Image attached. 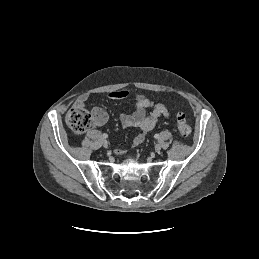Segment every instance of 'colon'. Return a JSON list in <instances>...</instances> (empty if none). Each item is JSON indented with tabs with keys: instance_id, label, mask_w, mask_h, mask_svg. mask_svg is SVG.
Instances as JSON below:
<instances>
[{
	"instance_id": "colon-1",
	"label": "colon",
	"mask_w": 259,
	"mask_h": 259,
	"mask_svg": "<svg viewBox=\"0 0 259 259\" xmlns=\"http://www.w3.org/2000/svg\"><path fill=\"white\" fill-rule=\"evenodd\" d=\"M177 128L181 136L187 137L191 133V127L182 113L177 114ZM66 123L75 134H82L94 124V118L83 106H73L66 115Z\"/></svg>"
}]
</instances>
